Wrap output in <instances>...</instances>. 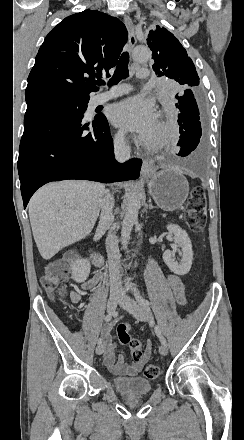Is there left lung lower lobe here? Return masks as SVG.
I'll list each match as a JSON object with an SVG mask.
<instances>
[{
    "label": "left lung lower lobe",
    "instance_id": "obj_1",
    "mask_svg": "<svg viewBox=\"0 0 244 440\" xmlns=\"http://www.w3.org/2000/svg\"><path fill=\"white\" fill-rule=\"evenodd\" d=\"M176 108L178 109V124L180 126V139L178 146L181 147L178 156L189 155L199 144L202 130L200 123L199 97L195 90L186 89L176 94Z\"/></svg>",
    "mask_w": 244,
    "mask_h": 440
}]
</instances>
